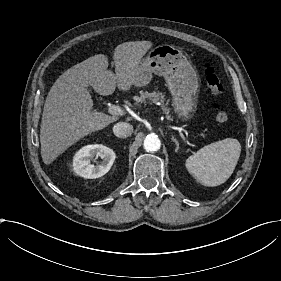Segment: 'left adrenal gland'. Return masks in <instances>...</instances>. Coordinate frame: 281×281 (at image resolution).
Returning a JSON list of instances; mask_svg holds the SVG:
<instances>
[{"instance_id":"obj_1","label":"left adrenal gland","mask_w":281,"mask_h":281,"mask_svg":"<svg viewBox=\"0 0 281 281\" xmlns=\"http://www.w3.org/2000/svg\"><path fill=\"white\" fill-rule=\"evenodd\" d=\"M172 140H173V142H174L175 145H176L175 152H178V150H179V142H178V140H177L176 138H174L173 136H172Z\"/></svg>"}]
</instances>
